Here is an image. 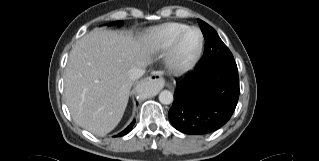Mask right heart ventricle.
<instances>
[{
  "instance_id": "obj_1",
  "label": "right heart ventricle",
  "mask_w": 319,
  "mask_h": 161,
  "mask_svg": "<svg viewBox=\"0 0 319 161\" xmlns=\"http://www.w3.org/2000/svg\"><path fill=\"white\" fill-rule=\"evenodd\" d=\"M188 25L181 22H166L152 27L144 34L145 42L156 51L169 48L174 37Z\"/></svg>"
}]
</instances>
